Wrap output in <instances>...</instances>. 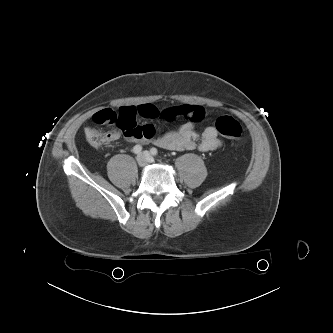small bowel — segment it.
<instances>
[{
	"label": "small bowel",
	"mask_w": 333,
	"mask_h": 333,
	"mask_svg": "<svg viewBox=\"0 0 333 333\" xmlns=\"http://www.w3.org/2000/svg\"><path fill=\"white\" fill-rule=\"evenodd\" d=\"M136 115L149 120H162L173 122L183 119L184 123L176 129L158 131L153 124L137 125L131 131H122L124 138L133 143H152L167 150H193L201 152L214 151L221 147L215 127H207L201 133L195 128V124L201 122L205 117V110L198 105H182L158 110L151 104L133 107ZM110 143L121 137L118 131L108 133Z\"/></svg>",
	"instance_id": "obj_1"
}]
</instances>
